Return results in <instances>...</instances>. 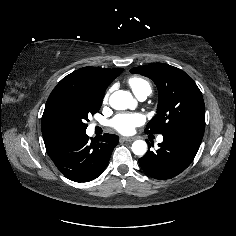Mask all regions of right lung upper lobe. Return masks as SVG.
I'll list each match as a JSON object with an SVG mask.
<instances>
[{"instance_id":"obj_1","label":"right lung upper lobe","mask_w":236,"mask_h":236,"mask_svg":"<svg viewBox=\"0 0 236 236\" xmlns=\"http://www.w3.org/2000/svg\"><path fill=\"white\" fill-rule=\"evenodd\" d=\"M122 71V68L108 69L84 67L67 75L60 81V83H68L80 90L104 95L106 88L113 81V79L122 73ZM42 134L46 150L51 149L62 140L68 138L65 136L54 135L44 127H42Z\"/></svg>"}]
</instances>
